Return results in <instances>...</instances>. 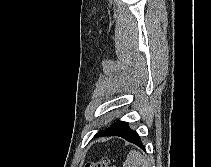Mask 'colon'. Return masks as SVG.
<instances>
[{"label": "colon", "mask_w": 211, "mask_h": 167, "mask_svg": "<svg viewBox=\"0 0 211 167\" xmlns=\"http://www.w3.org/2000/svg\"><path fill=\"white\" fill-rule=\"evenodd\" d=\"M86 167H111V165L108 160L100 159L89 163Z\"/></svg>", "instance_id": "obj_1"}]
</instances>
